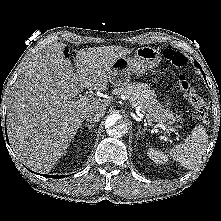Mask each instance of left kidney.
Instances as JSON below:
<instances>
[{
  "label": "left kidney",
  "instance_id": "obj_1",
  "mask_svg": "<svg viewBox=\"0 0 221 221\" xmlns=\"http://www.w3.org/2000/svg\"><path fill=\"white\" fill-rule=\"evenodd\" d=\"M147 155L156 164H164L168 161V157L163 152L158 151L154 148H149L147 150Z\"/></svg>",
  "mask_w": 221,
  "mask_h": 221
}]
</instances>
